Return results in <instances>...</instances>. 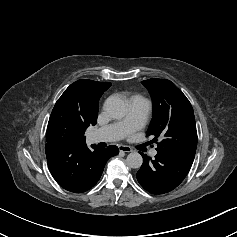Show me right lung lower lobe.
<instances>
[{"mask_svg":"<svg viewBox=\"0 0 237 237\" xmlns=\"http://www.w3.org/2000/svg\"><path fill=\"white\" fill-rule=\"evenodd\" d=\"M86 143L64 144L47 142L45 146L49 170L64 189L82 193L93 187L101 177L108 159L119 153L117 146L100 149Z\"/></svg>","mask_w":237,"mask_h":237,"instance_id":"98d812e1","label":"right lung lower lobe"}]
</instances>
